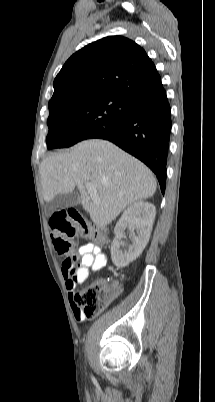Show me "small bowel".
I'll return each instance as SVG.
<instances>
[{"label": "small bowel", "instance_id": "obj_1", "mask_svg": "<svg viewBox=\"0 0 215 402\" xmlns=\"http://www.w3.org/2000/svg\"><path fill=\"white\" fill-rule=\"evenodd\" d=\"M73 258L79 263L75 272H72L70 268L65 267L62 263V274L65 279L74 317L77 321L82 322L86 319V316L79 310L75 303L76 285L77 283H83L92 271L102 269L107 264V256L96 244L86 243L78 249ZM110 286L116 293L119 291L116 282H113Z\"/></svg>", "mask_w": 215, "mask_h": 402}]
</instances>
